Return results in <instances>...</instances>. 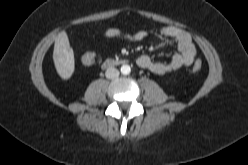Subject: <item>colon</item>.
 Masks as SVG:
<instances>
[{
  "label": "colon",
  "instance_id": "1",
  "mask_svg": "<svg viewBox=\"0 0 248 165\" xmlns=\"http://www.w3.org/2000/svg\"><path fill=\"white\" fill-rule=\"evenodd\" d=\"M96 58L95 53L93 52H86L82 55V63L85 65H91L94 63ZM202 68V62L201 60H196L194 65H193V71L194 72H199Z\"/></svg>",
  "mask_w": 248,
  "mask_h": 165
}]
</instances>
